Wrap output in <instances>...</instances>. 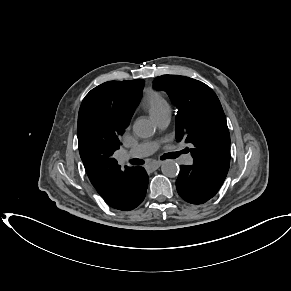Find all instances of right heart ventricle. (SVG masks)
Wrapping results in <instances>:
<instances>
[{
	"label": "right heart ventricle",
	"instance_id": "1",
	"mask_svg": "<svg viewBox=\"0 0 291 291\" xmlns=\"http://www.w3.org/2000/svg\"><path fill=\"white\" fill-rule=\"evenodd\" d=\"M144 106L152 117L164 113L170 112V105L164 96L156 90L149 89L144 98Z\"/></svg>",
	"mask_w": 291,
	"mask_h": 291
}]
</instances>
